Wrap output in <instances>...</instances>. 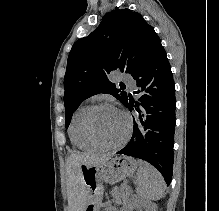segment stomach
Segmentation results:
<instances>
[{"label":"stomach","mask_w":219,"mask_h":211,"mask_svg":"<svg viewBox=\"0 0 219 211\" xmlns=\"http://www.w3.org/2000/svg\"><path fill=\"white\" fill-rule=\"evenodd\" d=\"M136 160L126 156H115L98 165H81V175L87 188V204L84 211H97L100 205L102 182L114 184L133 174Z\"/></svg>","instance_id":"0dacf381"}]
</instances>
